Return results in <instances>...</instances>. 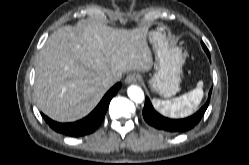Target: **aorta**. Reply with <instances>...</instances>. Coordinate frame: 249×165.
<instances>
[{
    "label": "aorta",
    "instance_id": "1",
    "mask_svg": "<svg viewBox=\"0 0 249 165\" xmlns=\"http://www.w3.org/2000/svg\"><path fill=\"white\" fill-rule=\"evenodd\" d=\"M128 97L135 103H141L144 100V92L137 85H131L127 89Z\"/></svg>",
    "mask_w": 249,
    "mask_h": 165
}]
</instances>
